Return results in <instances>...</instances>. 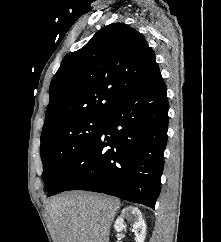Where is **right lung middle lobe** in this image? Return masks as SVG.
<instances>
[{
	"label": "right lung middle lobe",
	"mask_w": 221,
	"mask_h": 242,
	"mask_svg": "<svg viewBox=\"0 0 221 242\" xmlns=\"http://www.w3.org/2000/svg\"><path fill=\"white\" fill-rule=\"evenodd\" d=\"M103 121V116H85L41 135L43 179L48 196L71 162L99 133Z\"/></svg>",
	"instance_id": "1"
}]
</instances>
